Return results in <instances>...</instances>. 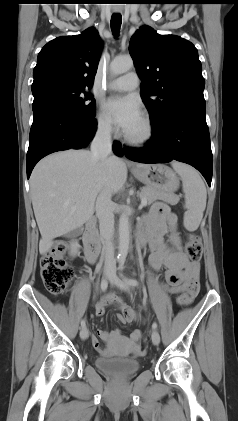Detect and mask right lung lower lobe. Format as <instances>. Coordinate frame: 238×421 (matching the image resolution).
<instances>
[{"label": "right lung lower lobe", "instance_id": "98d812e1", "mask_svg": "<svg viewBox=\"0 0 238 421\" xmlns=\"http://www.w3.org/2000/svg\"><path fill=\"white\" fill-rule=\"evenodd\" d=\"M33 124L27 152V178L36 163L48 154L67 149L86 147L97 130L96 120L79 116L60 102L44 99L35 102ZM116 155L122 156L118 142L113 144Z\"/></svg>", "mask_w": 238, "mask_h": 421}]
</instances>
